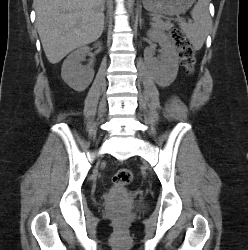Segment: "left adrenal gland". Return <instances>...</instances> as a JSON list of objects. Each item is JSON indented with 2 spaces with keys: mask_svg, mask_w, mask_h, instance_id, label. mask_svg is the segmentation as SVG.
<instances>
[{
  "mask_svg": "<svg viewBox=\"0 0 248 250\" xmlns=\"http://www.w3.org/2000/svg\"><path fill=\"white\" fill-rule=\"evenodd\" d=\"M142 26V19L140 18V27Z\"/></svg>",
  "mask_w": 248,
  "mask_h": 250,
  "instance_id": "a2214340",
  "label": "left adrenal gland"
}]
</instances>
